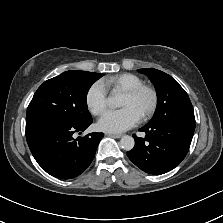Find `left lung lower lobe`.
<instances>
[{
	"mask_svg": "<svg viewBox=\"0 0 223 223\" xmlns=\"http://www.w3.org/2000/svg\"><path fill=\"white\" fill-rule=\"evenodd\" d=\"M194 129L176 124H146L139 129L146 133L145 138L133 135L135 146L127 155L144 172L164 174L174 169L185 158Z\"/></svg>",
	"mask_w": 223,
	"mask_h": 223,
	"instance_id": "obj_1",
	"label": "left lung lower lobe"
}]
</instances>
